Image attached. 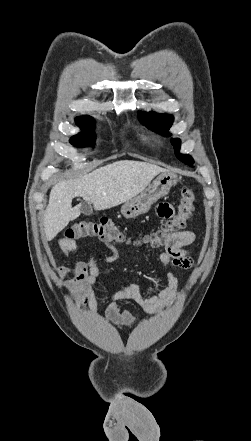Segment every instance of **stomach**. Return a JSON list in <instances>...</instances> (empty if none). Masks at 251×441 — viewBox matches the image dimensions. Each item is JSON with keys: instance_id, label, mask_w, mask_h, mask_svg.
Masks as SVG:
<instances>
[{"instance_id": "obj_1", "label": "stomach", "mask_w": 251, "mask_h": 441, "mask_svg": "<svg viewBox=\"0 0 251 441\" xmlns=\"http://www.w3.org/2000/svg\"><path fill=\"white\" fill-rule=\"evenodd\" d=\"M178 182V176L170 171L162 172L141 193L124 202L121 213L125 218H135L149 211L160 198L166 196L171 187Z\"/></svg>"}]
</instances>
